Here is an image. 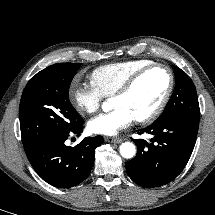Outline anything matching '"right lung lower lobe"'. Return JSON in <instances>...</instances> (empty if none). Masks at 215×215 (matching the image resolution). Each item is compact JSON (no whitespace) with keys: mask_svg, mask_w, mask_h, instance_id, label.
<instances>
[{"mask_svg":"<svg viewBox=\"0 0 215 215\" xmlns=\"http://www.w3.org/2000/svg\"><path fill=\"white\" fill-rule=\"evenodd\" d=\"M83 120L71 130L56 136L26 153L36 173L47 183L58 188H70L89 175L95 149L103 143L102 136L87 137L74 147L65 145L69 135H80Z\"/></svg>","mask_w":215,"mask_h":215,"instance_id":"obj_1","label":"right lung lower lobe"}]
</instances>
